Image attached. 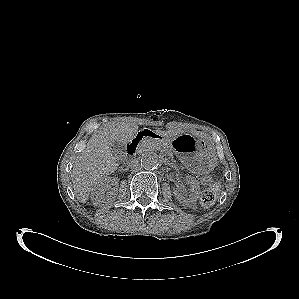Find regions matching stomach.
I'll return each instance as SVG.
<instances>
[{
	"label": "stomach",
	"instance_id": "stomach-1",
	"mask_svg": "<svg viewBox=\"0 0 299 299\" xmlns=\"http://www.w3.org/2000/svg\"><path fill=\"white\" fill-rule=\"evenodd\" d=\"M165 141L189 169L195 172H205L212 167L211 152L203 147L204 144L202 145L197 138L191 135H179Z\"/></svg>",
	"mask_w": 299,
	"mask_h": 299
}]
</instances>
